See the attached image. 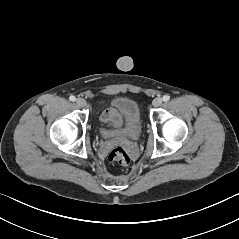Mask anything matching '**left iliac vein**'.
<instances>
[{
	"label": "left iliac vein",
	"instance_id": "1",
	"mask_svg": "<svg viewBox=\"0 0 239 239\" xmlns=\"http://www.w3.org/2000/svg\"><path fill=\"white\" fill-rule=\"evenodd\" d=\"M163 100L161 97H157L153 100L152 104L154 107H159L162 104Z\"/></svg>",
	"mask_w": 239,
	"mask_h": 239
}]
</instances>
